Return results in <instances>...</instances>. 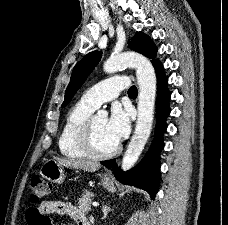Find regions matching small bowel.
<instances>
[{"label":"small bowel","instance_id":"small-bowel-1","mask_svg":"<svg viewBox=\"0 0 228 225\" xmlns=\"http://www.w3.org/2000/svg\"><path fill=\"white\" fill-rule=\"evenodd\" d=\"M51 214L69 216L76 223H78L82 217H85L78 208L72 206L69 202L47 200L41 202L38 207L28 209L26 213L27 225H56L55 222H51V218H47V215Z\"/></svg>","mask_w":228,"mask_h":225}]
</instances>
